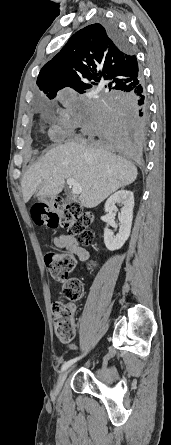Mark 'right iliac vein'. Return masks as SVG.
<instances>
[{
	"mask_svg": "<svg viewBox=\"0 0 171 445\" xmlns=\"http://www.w3.org/2000/svg\"><path fill=\"white\" fill-rule=\"evenodd\" d=\"M73 369V367L67 369L58 379L57 385H56V391H59L67 377V375L70 373V371Z\"/></svg>",
	"mask_w": 171,
	"mask_h": 445,
	"instance_id": "63e3f726",
	"label": "right iliac vein"
}]
</instances>
